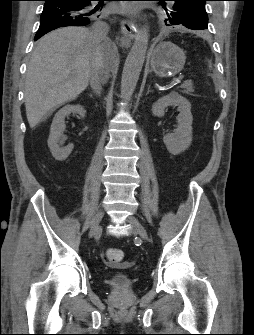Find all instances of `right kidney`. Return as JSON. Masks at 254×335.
Listing matches in <instances>:
<instances>
[{"label": "right kidney", "mask_w": 254, "mask_h": 335, "mask_svg": "<svg viewBox=\"0 0 254 335\" xmlns=\"http://www.w3.org/2000/svg\"><path fill=\"white\" fill-rule=\"evenodd\" d=\"M71 113L79 114L84 118L86 111L81 105H66L55 114L51 124L50 135L47 142L52 156L58 161L65 160L74 148L73 144H69L66 147H60L59 144L65 129V117Z\"/></svg>", "instance_id": "1"}]
</instances>
